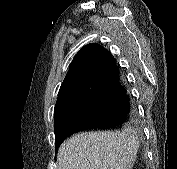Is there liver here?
Masks as SVG:
<instances>
[{"mask_svg":"<svg viewBox=\"0 0 177 169\" xmlns=\"http://www.w3.org/2000/svg\"><path fill=\"white\" fill-rule=\"evenodd\" d=\"M138 148L128 130L80 133L60 146L57 169H131Z\"/></svg>","mask_w":177,"mask_h":169,"instance_id":"1","label":"liver"}]
</instances>
